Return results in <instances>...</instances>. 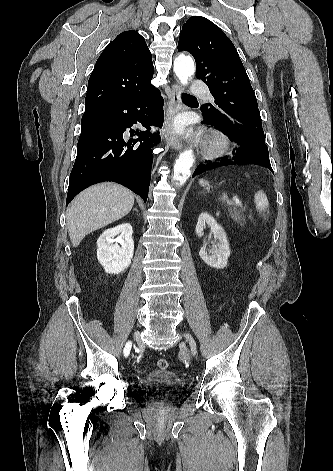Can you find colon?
Returning a JSON list of instances; mask_svg holds the SVG:
<instances>
[{
	"instance_id": "colon-1",
	"label": "colon",
	"mask_w": 333,
	"mask_h": 471,
	"mask_svg": "<svg viewBox=\"0 0 333 471\" xmlns=\"http://www.w3.org/2000/svg\"><path fill=\"white\" fill-rule=\"evenodd\" d=\"M157 366H158V368L161 369V370H166V369H168V367H169V363H168V361H167L166 359L161 358V359H159V360L157 361Z\"/></svg>"
}]
</instances>
